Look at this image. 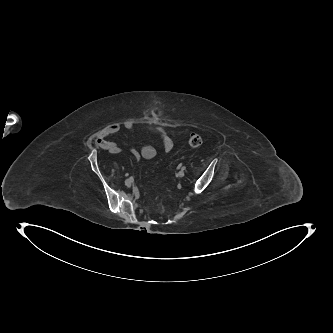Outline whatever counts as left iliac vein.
Instances as JSON below:
<instances>
[{"label":"left iliac vein","mask_w":333,"mask_h":333,"mask_svg":"<svg viewBox=\"0 0 333 333\" xmlns=\"http://www.w3.org/2000/svg\"><path fill=\"white\" fill-rule=\"evenodd\" d=\"M184 175H185V173H184L183 170H181V171H179V172L177 173V177H178V178H181V177H183Z\"/></svg>","instance_id":"left-iliac-vein-1"}]
</instances>
